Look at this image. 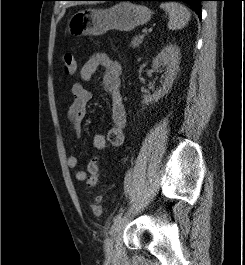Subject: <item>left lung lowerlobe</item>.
Listing matches in <instances>:
<instances>
[{
	"label": "left lung lower lobe",
	"mask_w": 245,
	"mask_h": 265,
	"mask_svg": "<svg viewBox=\"0 0 245 265\" xmlns=\"http://www.w3.org/2000/svg\"><path fill=\"white\" fill-rule=\"evenodd\" d=\"M97 1H183L189 4L201 18V1L204 0H97Z\"/></svg>",
	"instance_id": "left-lung-lower-lobe-1"
}]
</instances>
